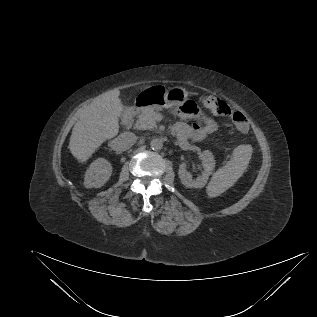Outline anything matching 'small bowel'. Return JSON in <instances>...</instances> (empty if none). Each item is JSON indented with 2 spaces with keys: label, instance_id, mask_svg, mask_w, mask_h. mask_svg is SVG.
Wrapping results in <instances>:
<instances>
[{
  "label": "small bowel",
  "instance_id": "1",
  "mask_svg": "<svg viewBox=\"0 0 317 317\" xmlns=\"http://www.w3.org/2000/svg\"><path fill=\"white\" fill-rule=\"evenodd\" d=\"M180 119L177 120L173 125V132L180 141L193 140L200 141L212 134L217 129V124L208 117H202L201 124L188 123L186 118L188 116L185 112L179 113ZM242 132L248 131L246 125L243 129H239Z\"/></svg>",
  "mask_w": 317,
  "mask_h": 317
}]
</instances>
